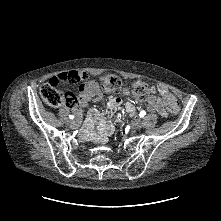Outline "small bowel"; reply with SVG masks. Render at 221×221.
Wrapping results in <instances>:
<instances>
[{
    "instance_id": "c3829d8e",
    "label": "small bowel",
    "mask_w": 221,
    "mask_h": 221,
    "mask_svg": "<svg viewBox=\"0 0 221 221\" xmlns=\"http://www.w3.org/2000/svg\"><path fill=\"white\" fill-rule=\"evenodd\" d=\"M89 74L86 72H78L72 70L70 72H62L57 75H51L48 78L47 84L50 87L58 88L61 83L71 82L76 84L81 83L77 96V102L72 107V111L81 116V108L85 107L90 101H97L101 98V91L99 84L93 80H88ZM124 95H128L129 91L126 88L122 89ZM154 94L148 103V109L151 113L167 117L169 108L166 102L167 97H174L165 85H155L152 87ZM175 98V97H174ZM122 104L120 97L112 96L108 99L106 104V116H103L98 110L91 109L87 114L85 133L96 144L104 145L108 142L109 137L114 132V124L111 121L112 115L119 109ZM136 108L133 103L127 102L125 104V111L132 115Z\"/></svg>"
}]
</instances>
